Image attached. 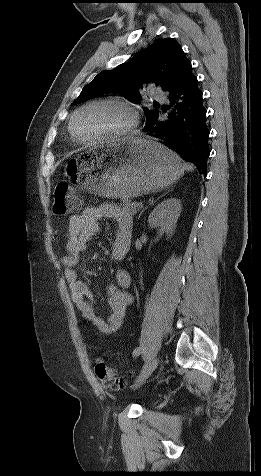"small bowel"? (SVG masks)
Listing matches in <instances>:
<instances>
[{
  "instance_id": "obj_1",
  "label": "small bowel",
  "mask_w": 261,
  "mask_h": 476,
  "mask_svg": "<svg viewBox=\"0 0 261 476\" xmlns=\"http://www.w3.org/2000/svg\"><path fill=\"white\" fill-rule=\"evenodd\" d=\"M103 218L113 219L117 223L111 251L112 258L122 261L126 257L131 244L132 217L117 205L102 204L87 208L71 217L61 264L69 284L71 299L77 309L99 332L111 334L121 326L128 308L133 303V296L128 291L131 285L129 272L124 269L118 270L115 274V284L107 286V301L111 313L107 318H103L95 311L93 296L88 286L79 279L75 269L81 253L87 248L88 240L101 231L99 221Z\"/></svg>"
}]
</instances>
